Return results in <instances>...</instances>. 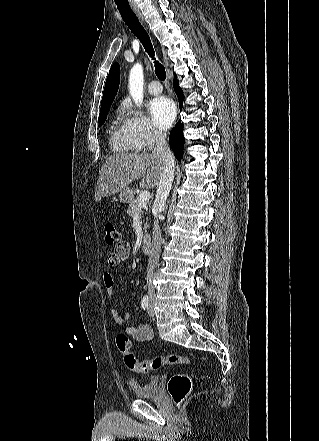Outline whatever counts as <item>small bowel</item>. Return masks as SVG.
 <instances>
[{
    "label": "small bowel",
    "instance_id": "1",
    "mask_svg": "<svg viewBox=\"0 0 319 441\" xmlns=\"http://www.w3.org/2000/svg\"><path fill=\"white\" fill-rule=\"evenodd\" d=\"M129 253V245L125 242H121L117 245L116 249L113 252L109 253L107 257V262L110 266L116 267L129 257ZM103 280L108 297H113L115 284L113 275L109 272H105L103 275ZM111 317L115 324L122 325L126 322L127 313L119 312L113 309L111 311ZM125 332L138 342H148L151 341L153 338L152 329L147 324L139 326H128L126 327Z\"/></svg>",
    "mask_w": 319,
    "mask_h": 441
}]
</instances>
